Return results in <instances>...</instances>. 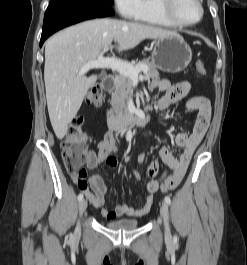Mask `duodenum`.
Instances as JSON below:
<instances>
[{
  "label": "duodenum",
  "instance_id": "1",
  "mask_svg": "<svg viewBox=\"0 0 247 265\" xmlns=\"http://www.w3.org/2000/svg\"><path fill=\"white\" fill-rule=\"evenodd\" d=\"M115 76L108 74L103 78L101 86L105 90H110L113 88L115 83ZM149 119L148 114H133V115H124L117 114L115 112H109L107 117V123L111 130L120 131L124 128L132 127L135 125L142 126Z\"/></svg>",
  "mask_w": 247,
  "mask_h": 265
}]
</instances>
